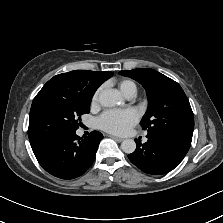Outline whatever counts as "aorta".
<instances>
[{
  "label": "aorta",
  "mask_w": 223,
  "mask_h": 223,
  "mask_svg": "<svg viewBox=\"0 0 223 223\" xmlns=\"http://www.w3.org/2000/svg\"><path fill=\"white\" fill-rule=\"evenodd\" d=\"M99 102L103 107H113L116 104H120V95L117 90H103L99 93ZM121 149L127 154H131L136 149V143L132 139L123 140L121 143Z\"/></svg>",
  "instance_id": "obj_1"
}]
</instances>
